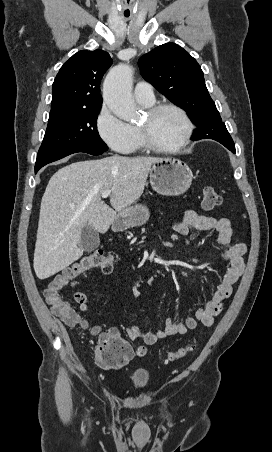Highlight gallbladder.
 <instances>
[{"label":"gallbladder","instance_id":"obj_1","mask_svg":"<svg viewBox=\"0 0 272 452\" xmlns=\"http://www.w3.org/2000/svg\"><path fill=\"white\" fill-rule=\"evenodd\" d=\"M100 244L98 232L89 224L82 228L80 246L86 252L94 251Z\"/></svg>","mask_w":272,"mask_h":452}]
</instances>
